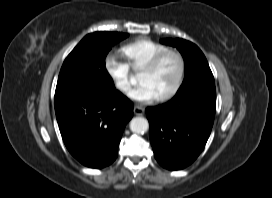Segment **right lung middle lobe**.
<instances>
[{
  "mask_svg": "<svg viewBox=\"0 0 272 198\" xmlns=\"http://www.w3.org/2000/svg\"><path fill=\"white\" fill-rule=\"evenodd\" d=\"M126 37L128 34L118 32H95L86 35L62 65L55 99L83 90H113L112 79L105 68V57L115 43Z\"/></svg>",
  "mask_w": 272,
  "mask_h": 198,
  "instance_id": "1",
  "label": "right lung middle lobe"
}]
</instances>
